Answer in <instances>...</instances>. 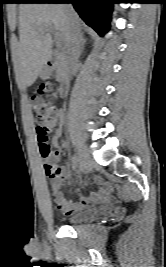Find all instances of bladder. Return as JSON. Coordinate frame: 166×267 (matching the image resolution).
<instances>
[{
  "label": "bladder",
  "mask_w": 166,
  "mask_h": 267,
  "mask_svg": "<svg viewBox=\"0 0 166 267\" xmlns=\"http://www.w3.org/2000/svg\"><path fill=\"white\" fill-rule=\"evenodd\" d=\"M96 211L95 210H86V211H81L74 213L72 215H69L66 219L65 222L67 225H77L83 222L88 221L95 215Z\"/></svg>",
  "instance_id": "1"
}]
</instances>
